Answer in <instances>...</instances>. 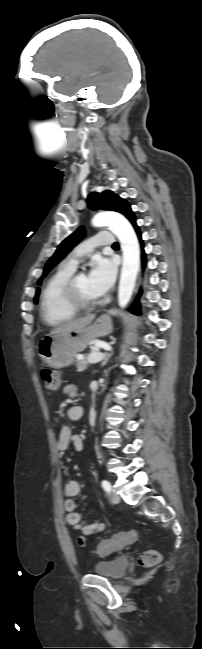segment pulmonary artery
Instances as JSON below:
<instances>
[{
  "mask_svg": "<svg viewBox=\"0 0 202 649\" xmlns=\"http://www.w3.org/2000/svg\"><path fill=\"white\" fill-rule=\"evenodd\" d=\"M114 242L115 239L111 232L109 231L98 232L88 241H85L80 245H78L74 249V251L67 257L65 264L75 268L76 265L78 264V259L82 254L89 252L93 248L99 246L111 247L113 246Z\"/></svg>",
  "mask_w": 202,
  "mask_h": 649,
  "instance_id": "1",
  "label": "pulmonary artery"
}]
</instances>
